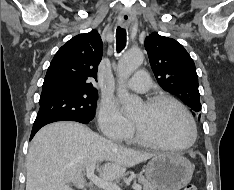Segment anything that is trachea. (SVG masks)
<instances>
[{
    "label": "trachea",
    "instance_id": "3493384b",
    "mask_svg": "<svg viewBox=\"0 0 234 190\" xmlns=\"http://www.w3.org/2000/svg\"><path fill=\"white\" fill-rule=\"evenodd\" d=\"M126 30L121 28L120 26L117 27L116 30V43H117V52H121L126 46Z\"/></svg>",
    "mask_w": 234,
    "mask_h": 190
}]
</instances>
